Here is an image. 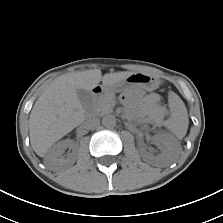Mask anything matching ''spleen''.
I'll return each mask as SVG.
<instances>
[{
	"instance_id": "3e777b00",
	"label": "spleen",
	"mask_w": 223,
	"mask_h": 223,
	"mask_svg": "<svg viewBox=\"0 0 223 223\" xmlns=\"http://www.w3.org/2000/svg\"><path fill=\"white\" fill-rule=\"evenodd\" d=\"M169 105L172 111L170 122L171 130L179 137L182 138L188 128V114L185 104L175 93L169 96Z\"/></svg>"
}]
</instances>
